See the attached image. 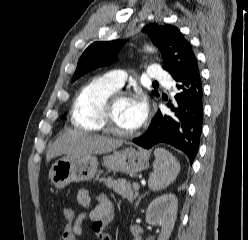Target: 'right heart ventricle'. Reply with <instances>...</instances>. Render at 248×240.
Instances as JSON below:
<instances>
[{
  "label": "right heart ventricle",
  "mask_w": 248,
  "mask_h": 240,
  "mask_svg": "<svg viewBox=\"0 0 248 240\" xmlns=\"http://www.w3.org/2000/svg\"><path fill=\"white\" fill-rule=\"evenodd\" d=\"M117 90L103 77L90 80L78 92L72 106L71 122L74 127L91 132L103 130L100 114L105 101Z\"/></svg>",
  "instance_id": "e07e8e85"
}]
</instances>
